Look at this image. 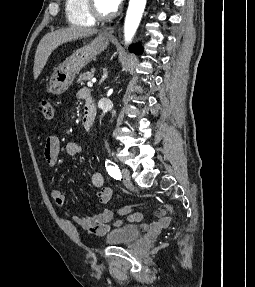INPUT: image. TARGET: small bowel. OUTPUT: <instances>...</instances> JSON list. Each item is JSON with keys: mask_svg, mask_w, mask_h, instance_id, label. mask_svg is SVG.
Returning <instances> with one entry per match:
<instances>
[{"mask_svg": "<svg viewBox=\"0 0 255 287\" xmlns=\"http://www.w3.org/2000/svg\"><path fill=\"white\" fill-rule=\"evenodd\" d=\"M80 97V94H79ZM65 152L69 156H82L84 154L83 147L77 142H68L65 145ZM60 153V140L56 135H49L45 140L44 147V159L49 167L55 166L58 160ZM91 184L100 188V191L97 193L98 203L101 205L108 204L112 198V189L110 187L104 186V177L101 172L93 171L90 175ZM52 199L56 206L62 207L65 204V196L59 189H53L51 191ZM156 220L152 223H147L144 221V216L140 212L130 213L126 221L128 223H139L142 228L146 231L158 234L166 229L171 222L170 217L166 215L165 210L158 209L155 211ZM67 224L70 222L67 219H64ZM72 221L84 228L85 230L90 231L96 235H104L112 227L119 226L124 223L123 220L114 221V211L111 209H104L97 213L94 216L89 217H80L73 216Z\"/></svg>", "mask_w": 255, "mask_h": 287, "instance_id": "c3829d8e", "label": "small bowel"}]
</instances>
